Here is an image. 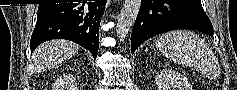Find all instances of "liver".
<instances>
[{
    "label": "liver",
    "instance_id": "obj_1",
    "mask_svg": "<svg viewBox=\"0 0 237 90\" xmlns=\"http://www.w3.org/2000/svg\"><path fill=\"white\" fill-rule=\"evenodd\" d=\"M80 46L67 40H51L44 42L36 48L31 60L33 68L36 70H50L57 64H62L65 60H70L78 54Z\"/></svg>",
    "mask_w": 237,
    "mask_h": 90
}]
</instances>
